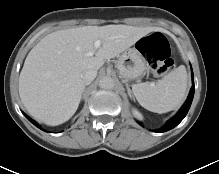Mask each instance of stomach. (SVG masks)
<instances>
[{
  "mask_svg": "<svg viewBox=\"0 0 219 174\" xmlns=\"http://www.w3.org/2000/svg\"><path fill=\"white\" fill-rule=\"evenodd\" d=\"M117 69L120 77L128 82L137 79L145 72L146 61L136 47L128 48L119 56Z\"/></svg>",
  "mask_w": 219,
  "mask_h": 174,
  "instance_id": "1",
  "label": "stomach"
}]
</instances>
